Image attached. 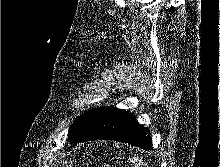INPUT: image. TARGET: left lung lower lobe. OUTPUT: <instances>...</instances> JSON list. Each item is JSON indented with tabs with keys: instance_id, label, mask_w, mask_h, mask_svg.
<instances>
[{
	"instance_id": "1",
	"label": "left lung lower lobe",
	"mask_w": 220,
	"mask_h": 167,
	"mask_svg": "<svg viewBox=\"0 0 220 167\" xmlns=\"http://www.w3.org/2000/svg\"><path fill=\"white\" fill-rule=\"evenodd\" d=\"M147 132L149 130L139 125L131 113L116 107H106L86 133L72 143L105 139L152 150L151 139Z\"/></svg>"
}]
</instances>
